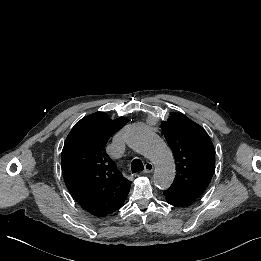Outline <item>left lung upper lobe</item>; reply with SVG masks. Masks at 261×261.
I'll return each mask as SVG.
<instances>
[{"label": "left lung upper lobe", "mask_w": 261, "mask_h": 261, "mask_svg": "<svg viewBox=\"0 0 261 261\" xmlns=\"http://www.w3.org/2000/svg\"><path fill=\"white\" fill-rule=\"evenodd\" d=\"M163 134L173 151L176 177L170 189L198 198L215 170V150L206 131L181 113L162 122Z\"/></svg>", "instance_id": "left-lung-upper-lobe-1"}]
</instances>
